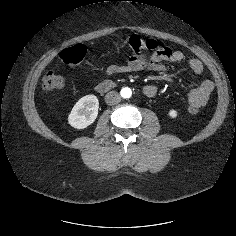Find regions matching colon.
<instances>
[{"label": "colon", "instance_id": "obj_1", "mask_svg": "<svg viewBox=\"0 0 236 236\" xmlns=\"http://www.w3.org/2000/svg\"><path fill=\"white\" fill-rule=\"evenodd\" d=\"M124 44L132 51L137 53L156 54L163 51L164 47L153 39H147L138 35H130L125 37ZM86 55V48L82 44H77L72 47L65 48L61 51L59 59L67 65L79 64ZM66 78L57 71H49L43 80L44 88L47 90H59L66 86ZM191 113H197L198 109L190 107Z\"/></svg>", "mask_w": 236, "mask_h": 236}]
</instances>
